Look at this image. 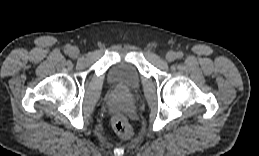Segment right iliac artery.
I'll return each mask as SVG.
<instances>
[{"label":"right iliac artery","mask_w":259,"mask_h":156,"mask_svg":"<svg viewBox=\"0 0 259 156\" xmlns=\"http://www.w3.org/2000/svg\"><path fill=\"white\" fill-rule=\"evenodd\" d=\"M71 50V46L70 45H66V49H65V52L66 53H69Z\"/></svg>","instance_id":"82829eb1"}]
</instances>
